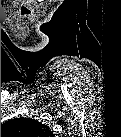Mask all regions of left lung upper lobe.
Masks as SVG:
<instances>
[{
  "label": "left lung upper lobe",
  "instance_id": "1",
  "mask_svg": "<svg viewBox=\"0 0 121 137\" xmlns=\"http://www.w3.org/2000/svg\"><path fill=\"white\" fill-rule=\"evenodd\" d=\"M1 135L10 137H46L51 136L49 127L35 119L15 118L1 125Z\"/></svg>",
  "mask_w": 121,
  "mask_h": 137
}]
</instances>
